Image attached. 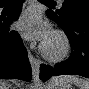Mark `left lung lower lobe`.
Here are the masks:
<instances>
[{"instance_id": "obj_1", "label": "left lung lower lobe", "mask_w": 89, "mask_h": 89, "mask_svg": "<svg viewBox=\"0 0 89 89\" xmlns=\"http://www.w3.org/2000/svg\"><path fill=\"white\" fill-rule=\"evenodd\" d=\"M47 16L66 33L71 43V55L54 67L41 65L40 78L43 81L57 75H80L89 78V16H76L68 24H62L53 11H47Z\"/></svg>"}]
</instances>
